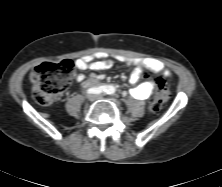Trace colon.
Masks as SVG:
<instances>
[{
  "instance_id": "obj_1",
  "label": "colon",
  "mask_w": 222,
  "mask_h": 187,
  "mask_svg": "<svg viewBox=\"0 0 222 187\" xmlns=\"http://www.w3.org/2000/svg\"><path fill=\"white\" fill-rule=\"evenodd\" d=\"M74 65L70 60L59 63L44 62L36 66L31 74L32 94L41 105H50L70 86L74 77ZM170 99V91L163 79L156 81L152 106L158 110Z\"/></svg>"
}]
</instances>
